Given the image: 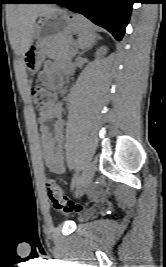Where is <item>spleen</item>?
Here are the masks:
<instances>
[{
    "label": "spleen",
    "instance_id": "obj_1",
    "mask_svg": "<svg viewBox=\"0 0 166 267\" xmlns=\"http://www.w3.org/2000/svg\"><path fill=\"white\" fill-rule=\"evenodd\" d=\"M97 35L94 27L87 19L82 17V22L78 31V45L81 49L89 48L95 41Z\"/></svg>",
    "mask_w": 166,
    "mask_h": 267
}]
</instances>
